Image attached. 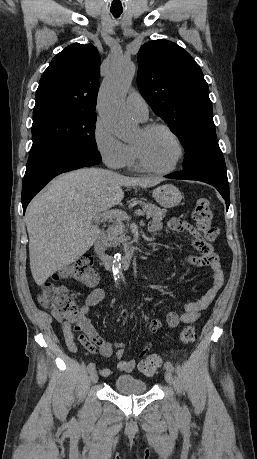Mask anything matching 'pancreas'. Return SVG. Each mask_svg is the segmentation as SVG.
Here are the masks:
<instances>
[{"instance_id":"obj_1","label":"pancreas","mask_w":257,"mask_h":459,"mask_svg":"<svg viewBox=\"0 0 257 459\" xmlns=\"http://www.w3.org/2000/svg\"><path fill=\"white\" fill-rule=\"evenodd\" d=\"M142 206L143 212L154 221H161L166 214V210L157 207L154 204L148 202H140ZM127 229L125 224L118 220L114 222L106 231V236L104 239V247H111V246H118L120 243L123 244L124 247H128L129 243L127 242L128 237L126 236Z\"/></svg>"}]
</instances>
